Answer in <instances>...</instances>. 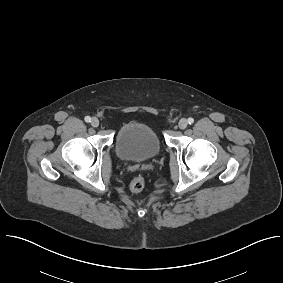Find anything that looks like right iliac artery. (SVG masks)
Here are the masks:
<instances>
[{"label":"right iliac artery","mask_w":283,"mask_h":283,"mask_svg":"<svg viewBox=\"0 0 283 283\" xmlns=\"http://www.w3.org/2000/svg\"><path fill=\"white\" fill-rule=\"evenodd\" d=\"M85 121H86V122H91V118H90L89 116H86V117H85Z\"/></svg>","instance_id":"82829eb1"}]
</instances>
